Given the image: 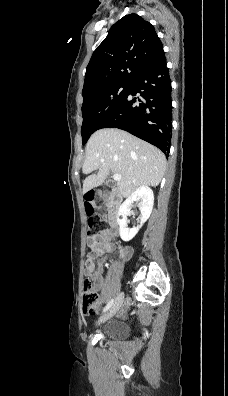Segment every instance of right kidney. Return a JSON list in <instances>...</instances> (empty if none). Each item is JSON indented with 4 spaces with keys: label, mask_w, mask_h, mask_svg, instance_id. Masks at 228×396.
<instances>
[{
    "label": "right kidney",
    "mask_w": 228,
    "mask_h": 396,
    "mask_svg": "<svg viewBox=\"0 0 228 396\" xmlns=\"http://www.w3.org/2000/svg\"><path fill=\"white\" fill-rule=\"evenodd\" d=\"M140 201L139 209L141 212L140 226L137 228L127 227V216L130 215V209L133 202ZM154 204V194L148 186L137 188L120 206L118 211L117 222L119 224V233L123 241H130L138 233L139 228L148 220L151 215Z\"/></svg>",
    "instance_id": "1"
}]
</instances>
